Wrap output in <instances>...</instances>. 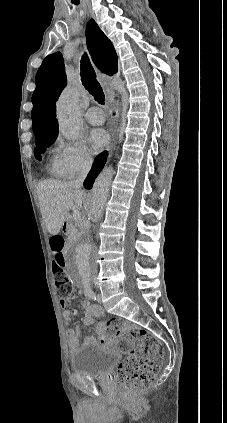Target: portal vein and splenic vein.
Segmentation results:
<instances>
[{
	"label": "portal vein and splenic vein",
	"instance_id": "portal-vein-and-splenic-vein-1",
	"mask_svg": "<svg viewBox=\"0 0 227 423\" xmlns=\"http://www.w3.org/2000/svg\"><path fill=\"white\" fill-rule=\"evenodd\" d=\"M72 217H73V219H80V217H81V213H80V211H78V210H73V211H72Z\"/></svg>",
	"mask_w": 227,
	"mask_h": 423
}]
</instances>
